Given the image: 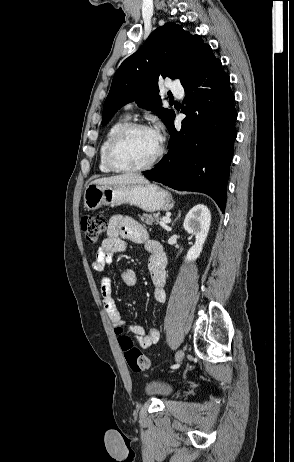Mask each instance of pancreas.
Instances as JSON below:
<instances>
[{
	"instance_id": "cf45deb5",
	"label": "pancreas",
	"mask_w": 294,
	"mask_h": 462,
	"mask_svg": "<svg viewBox=\"0 0 294 462\" xmlns=\"http://www.w3.org/2000/svg\"><path fill=\"white\" fill-rule=\"evenodd\" d=\"M141 221H143L147 225L158 224L159 219L155 215L152 214H143L139 215Z\"/></svg>"
}]
</instances>
